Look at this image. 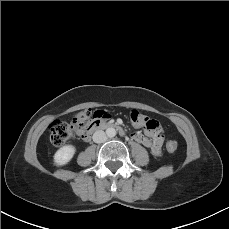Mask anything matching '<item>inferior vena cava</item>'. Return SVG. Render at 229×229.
I'll return each mask as SVG.
<instances>
[{
	"label": "inferior vena cava",
	"instance_id": "obj_1",
	"mask_svg": "<svg viewBox=\"0 0 229 229\" xmlns=\"http://www.w3.org/2000/svg\"><path fill=\"white\" fill-rule=\"evenodd\" d=\"M92 138L95 143H103L107 140L106 133L102 130L96 131Z\"/></svg>",
	"mask_w": 229,
	"mask_h": 229
}]
</instances>
